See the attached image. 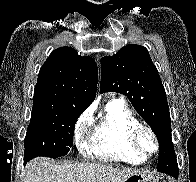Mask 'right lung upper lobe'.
<instances>
[{"mask_svg":"<svg viewBox=\"0 0 196 182\" xmlns=\"http://www.w3.org/2000/svg\"><path fill=\"white\" fill-rule=\"evenodd\" d=\"M98 69L71 47L54 50L40 69L32 110L71 108L83 112L95 99Z\"/></svg>","mask_w":196,"mask_h":182,"instance_id":"right-lung-upper-lobe-1","label":"right lung upper lobe"}]
</instances>
